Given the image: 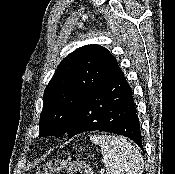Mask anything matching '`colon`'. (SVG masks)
I'll return each instance as SVG.
<instances>
[{
	"label": "colon",
	"instance_id": "1",
	"mask_svg": "<svg viewBox=\"0 0 175 174\" xmlns=\"http://www.w3.org/2000/svg\"><path fill=\"white\" fill-rule=\"evenodd\" d=\"M63 171L68 174H95L91 166L77 156L49 160L40 165L35 174H59Z\"/></svg>",
	"mask_w": 175,
	"mask_h": 174
}]
</instances>
